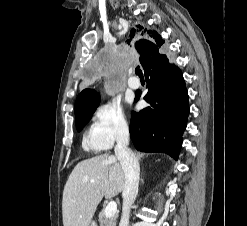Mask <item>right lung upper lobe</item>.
<instances>
[{"label":"right lung upper lobe","mask_w":247,"mask_h":226,"mask_svg":"<svg viewBox=\"0 0 247 226\" xmlns=\"http://www.w3.org/2000/svg\"><path fill=\"white\" fill-rule=\"evenodd\" d=\"M131 41L135 42V47L140 53L143 68L147 52L154 48H162L164 44V40L155 30H149L140 24L131 28L127 43ZM96 98H98L96 91L84 89L75 102V118L82 115L88 109L87 106Z\"/></svg>","instance_id":"right-lung-upper-lobe-1"}]
</instances>
